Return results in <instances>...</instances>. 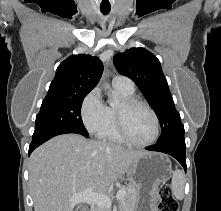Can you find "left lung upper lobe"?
Returning a JSON list of instances; mask_svg holds the SVG:
<instances>
[{"instance_id":"obj_1","label":"left lung upper lobe","mask_w":221,"mask_h":211,"mask_svg":"<svg viewBox=\"0 0 221 211\" xmlns=\"http://www.w3.org/2000/svg\"><path fill=\"white\" fill-rule=\"evenodd\" d=\"M117 71L131 78L154 109L160 125L161 136L157 143L184 138L180 114L175 109L167 80L159 60L145 48H131L113 58Z\"/></svg>"}]
</instances>
